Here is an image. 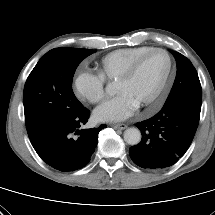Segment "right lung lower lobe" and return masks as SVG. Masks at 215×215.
I'll use <instances>...</instances> for the list:
<instances>
[{
    "label": "right lung lower lobe",
    "mask_w": 215,
    "mask_h": 215,
    "mask_svg": "<svg viewBox=\"0 0 215 215\" xmlns=\"http://www.w3.org/2000/svg\"><path fill=\"white\" fill-rule=\"evenodd\" d=\"M90 112L84 107L75 114L54 123L30 138L41 159L59 171H75L90 161L98 143V128L80 129Z\"/></svg>",
    "instance_id": "98d812e1"
}]
</instances>
